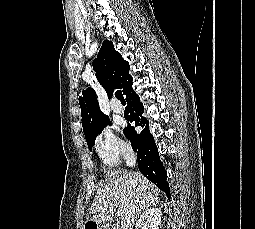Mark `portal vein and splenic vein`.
Masks as SVG:
<instances>
[{
    "label": "portal vein and splenic vein",
    "instance_id": "portal-vein-and-splenic-vein-1",
    "mask_svg": "<svg viewBox=\"0 0 255 229\" xmlns=\"http://www.w3.org/2000/svg\"><path fill=\"white\" fill-rule=\"evenodd\" d=\"M123 213H124L123 210H121L120 208L117 209V215L118 216L121 217L123 215Z\"/></svg>",
    "mask_w": 255,
    "mask_h": 229
}]
</instances>
